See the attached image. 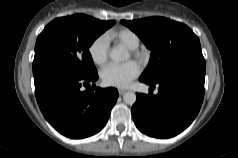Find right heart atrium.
Masks as SVG:
<instances>
[{
  "label": "right heart atrium",
  "instance_id": "obj_1",
  "mask_svg": "<svg viewBox=\"0 0 238 158\" xmlns=\"http://www.w3.org/2000/svg\"><path fill=\"white\" fill-rule=\"evenodd\" d=\"M88 53L92 62L98 66L106 63L109 55V42L106 36L95 38L88 47Z\"/></svg>",
  "mask_w": 238,
  "mask_h": 158
}]
</instances>
